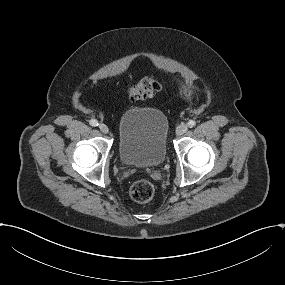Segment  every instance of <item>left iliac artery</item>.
<instances>
[{
	"label": "left iliac artery",
	"mask_w": 285,
	"mask_h": 285,
	"mask_svg": "<svg viewBox=\"0 0 285 285\" xmlns=\"http://www.w3.org/2000/svg\"><path fill=\"white\" fill-rule=\"evenodd\" d=\"M187 124L190 128H192L196 125V122L194 120H189Z\"/></svg>",
	"instance_id": "obj_1"
}]
</instances>
